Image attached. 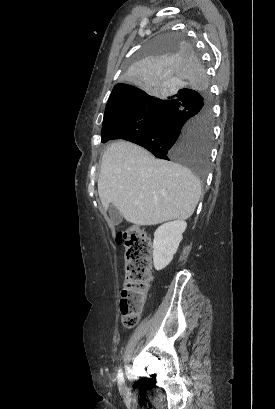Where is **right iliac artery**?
Masks as SVG:
<instances>
[{
  "label": "right iliac artery",
  "mask_w": 275,
  "mask_h": 409,
  "mask_svg": "<svg viewBox=\"0 0 275 409\" xmlns=\"http://www.w3.org/2000/svg\"><path fill=\"white\" fill-rule=\"evenodd\" d=\"M117 378H118V382H119V383H123V382H124L123 373H122V370H121V369L118 370Z\"/></svg>",
  "instance_id": "obj_1"
}]
</instances>
